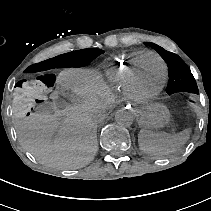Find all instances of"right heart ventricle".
I'll return each mask as SVG.
<instances>
[{
	"label": "right heart ventricle",
	"instance_id": "obj_1",
	"mask_svg": "<svg viewBox=\"0 0 211 211\" xmlns=\"http://www.w3.org/2000/svg\"><path fill=\"white\" fill-rule=\"evenodd\" d=\"M150 52L143 49L128 50L120 55H115L108 60L104 67V74L108 78H112L113 82L122 89L127 95L130 93V78L135 71V67L139 61L149 58Z\"/></svg>",
	"mask_w": 211,
	"mask_h": 211
}]
</instances>
